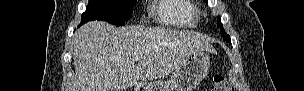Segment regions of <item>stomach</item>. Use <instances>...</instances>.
Here are the masks:
<instances>
[{
    "mask_svg": "<svg viewBox=\"0 0 304 91\" xmlns=\"http://www.w3.org/2000/svg\"><path fill=\"white\" fill-rule=\"evenodd\" d=\"M210 56L207 51H196L174 71L172 78L161 86H145L143 91H192L208 74Z\"/></svg>",
    "mask_w": 304,
    "mask_h": 91,
    "instance_id": "0dacf381",
    "label": "stomach"
}]
</instances>
